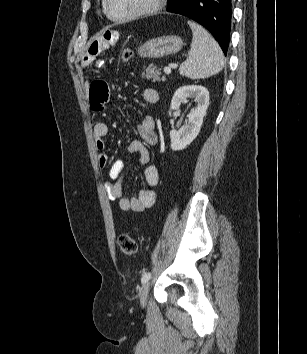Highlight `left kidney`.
I'll list each match as a JSON object with an SVG mask.
<instances>
[{
    "label": "left kidney",
    "instance_id": "5707ae66",
    "mask_svg": "<svg viewBox=\"0 0 307 354\" xmlns=\"http://www.w3.org/2000/svg\"><path fill=\"white\" fill-rule=\"evenodd\" d=\"M187 98L194 99L195 108L188 114V122L178 131H170L171 149L183 150L197 137L203 124V118L209 106V92L200 85H186L179 87L171 100L169 115L177 110Z\"/></svg>",
    "mask_w": 307,
    "mask_h": 354
}]
</instances>
